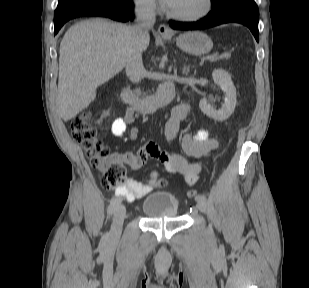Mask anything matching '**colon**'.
<instances>
[{
	"label": "colon",
	"mask_w": 309,
	"mask_h": 288,
	"mask_svg": "<svg viewBox=\"0 0 309 288\" xmlns=\"http://www.w3.org/2000/svg\"><path fill=\"white\" fill-rule=\"evenodd\" d=\"M92 113L84 111L72 120L71 135L75 142L81 145L89 158L91 167L101 172V184L106 190L121 188L125 183L126 170L124 165L110 155L109 149L98 138L96 130L90 124ZM159 186H165L167 181L159 178L155 181ZM190 199H195L198 192L190 189L187 192Z\"/></svg>",
	"instance_id": "1"
}]
</instances>
